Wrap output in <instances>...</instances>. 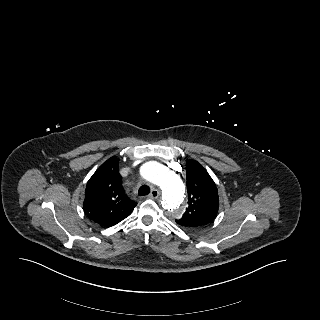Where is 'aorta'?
Returning <instances> with one entry per match:
<instances>
[{
	"label": "aorta",
	"mask_w": 320,
	"mask_h": 320,
	"mask_svg": "<svg viewBox=\"0 0 320 320\" xmlns=\"http://www.w3.org/2000/svg\"><path fill=\"white\" fill-rule=\"evenodd\" d=\"M141 176L160 187L164 208L173 217H181L184 211V185L177 173L158 162H147L140 168Z\"/></svg>",
	"instance_id": "1"
}]
</instances>
